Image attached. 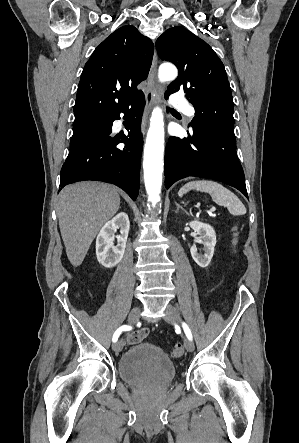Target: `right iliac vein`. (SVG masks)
Instances as JSON below:
<instances>
[{
    "label": "right iliac vein",
    "mask_w": 299,
    "mask_h": 443,
    "mask_svg": "<svg viewBox=\"0 0 299 443\" xmlns=\"http://www.w3.org/2000/svg\"><path fill=\"white\" fill-rule=\"evenodd\" d=\"M139 317H140V308L139 307L133 308L129 313L128 321L130 324H135L136 322H138ZM123 345H124L123 340L117 341L113 345L114 352L119 353L122 350Z\"/></svg>",
    "instance_id": "63e3f726"
}]
</instances>
